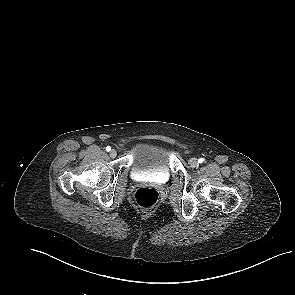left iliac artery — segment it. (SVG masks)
Listing matches in <instances>:
<instances>
[{
	"label": "left iliac artery",
	"instance_id": "44dca946",
	"mask_svg": "<svg viewBox=\"0 0 295 295\" xmlns=\"http://www.w3.org/2000/svg\"><path fill=\"white\" fill-rule=\"evenodd\" d=\"M203 162H204L203 158L198 159V163H203Z\"/></svg>",
	"mask_w": 295,
	"mask_h": 295
}]
</instances>
